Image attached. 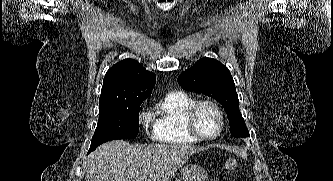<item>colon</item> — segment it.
Instances as JSON below:
<instances>
[{"instance_id":"5ec220e1","label":"colon","mask_w":333,"mask_h":181,"mask_svg":"<svg viewBox=\"0 0 333 181\" xmlns=\"http://www.w3.org/2000/svg\"><path fill=\"white\" fill-rule=\"evenodd\" d=\"M239 166V162L236 158H229L226 160L225 162V170L228 171V172H232V171H235Z\"/></svg>"}]
</instances>
